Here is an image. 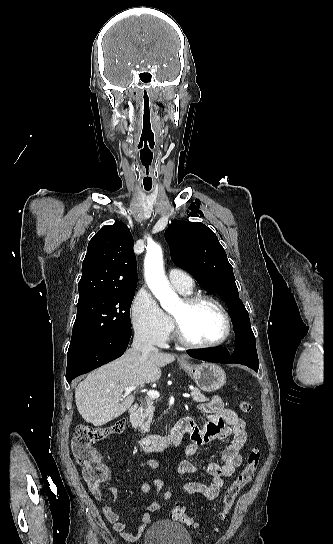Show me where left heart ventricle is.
Segmentation results:
<instances>
[{"mask_svg":"<svg viewBox=\"0 0 333 544\" xmlns=\"http://www.w3.org/2000/svg\"><path fill=\"white\" fill-rule=\"evenodd\" d=\"M172 314L181 322L188 337L197 343L214 342L224 334L223 315L210 302L201 303L192 310L181 302Z\"/></svg>","mask_w":333,"mask_h":544,"instance_id":"b2bd125f","label":"left heart ventricle"}]
</instances>
